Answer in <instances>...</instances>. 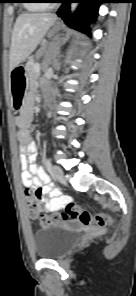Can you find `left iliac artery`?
<instances>
[{"mask_svg":"<svg viewBox=\"0 0 136 296\" xmlns=\"http://www.w3.org/2000/svg\"><path fill=\"white\" fill-rule=\"evenodd\" d=\"M46 167H47V170H48L49 172H51V170H52V165H51V162H50L49 160H46Z\"/></svg>","mask_w":136,"mask_h":296,"instance_id":"1","label":"left iliac artery"}]
</instances>
